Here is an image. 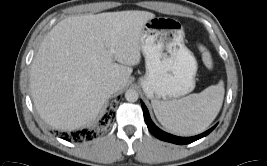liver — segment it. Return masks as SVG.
I'll use <instances>...</instances> for the list:
<instances>
[{"label": "liver", "mask_w": 267, "mask_h": 166, "mask_svg": "<svg viewBox=\"0 0 267 166\" xmlns=\"http://www.w3.org/2000/svg\"><path fill=\"white\" fill-rule=\"evenodd\" d=\"M153 18L151 12L130 10L73 16L55 25L30 71L31 95L42 119L61 130L94 120L110 96L106 84L123 89L132 66L140 63L142 30Z\"/></svg>", "instance_id": "obj_1"}]
</instances>
